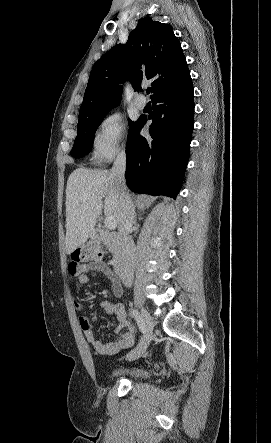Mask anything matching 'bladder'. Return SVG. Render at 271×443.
Listing matches in <instances>:
<instances>
[{"instance_id":"bladder-1","label":"bladder","mask_w":271,"mask_h":443,"mask_svg":"<svg viewBox=\"0 0 271 443\" xmlns=\"http://www.w3.org/2000/svg\"><path fill=\"white\" fill-rule=\"evenodd\" d=\"M149 376V371L143 367H131L123 369H115L109 373L112 379L127 377L133 379L146 378Z\"/></svg>"}]
</instances>
